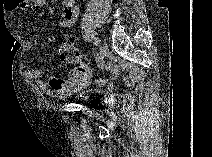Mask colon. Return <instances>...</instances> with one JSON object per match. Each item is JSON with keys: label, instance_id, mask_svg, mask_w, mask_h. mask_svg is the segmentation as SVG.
<instances>
[{"label": "colon", "instance_id": "1", "mask_svg": "<svg viewBox=\"0 0 212 157\" xmlns=\"http://www.w3.org/2000/svg\"><path fill=\"white\" fill-rule=\"evenodd\" d=\"M61 60L66 64L76 66L74 77L79 80L87 78L89 68L82 53L78 50L72 40H66L59 48Z\"/></svg>", "mask_w": 212, "mask_h": 157}]
</instances>
